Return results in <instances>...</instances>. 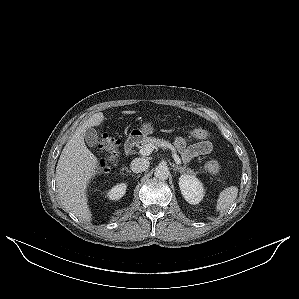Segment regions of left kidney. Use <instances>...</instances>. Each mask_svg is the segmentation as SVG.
Here are the masks:
<instances>
[{"label":"left kidney","instance_id":"5707ae66","mask_svg":"<svg viewBox=\"0 0 299 299\" xmlns=\"http://www.w3.org/2000/svg\"><path fill=\"white\" fill-rule=\"evenodd\" d=\"M179 187L185 200L193 205L198 204L204 196V188L198 178L191 175H181Z\"/></svg>","mask_w":299,"mask_h":299}]
</instances>
